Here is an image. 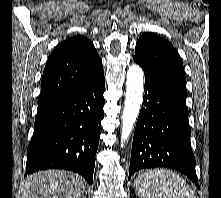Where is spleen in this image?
Listing matches in <instances>:
<instances>
[{"label":"spleen","mask_w":221,"mask_h":198,"mask_svg":"<svg viewBox=\"0 0 221 198\" xmlns=\"http://www.w3.org/2000/svg\"><path fill=\"white\" fill-rule=\"evenodd\" d=\"M134 188L140 198H196L186 181L168 169L143 172Z\"/></svg>","instance_id":"3e777b00"}]
</instances>
